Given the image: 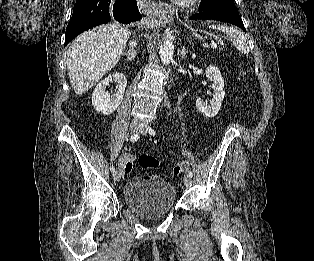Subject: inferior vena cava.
Wrapping results in <instances>:
<instances>
[{
  "instance_id": "obj_1",
  "label": "inferior vena cava",
  "mask_w": 314,
  "mask_h": 261,
  "mask_svg": "<svg viewBox=\"0 0 314 261\" xmlns=\"http://www.w3.org/2000/svg\"><path fill=\"white\" fill-rule=\"evenodd\" d=\"M129 45H130V50L134 51V48L136 47V41H130Z\"/></svg>"
}]
</instances>
